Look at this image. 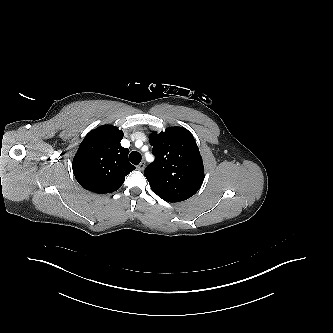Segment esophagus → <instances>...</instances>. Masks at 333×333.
<instances>
[{
  "instance_id": "obj_1",
  "label": "esophagus",
  "mask_w": 333,
  "mask_h": 333,
  "mask_svg": "<svg viewBox=\"0 0 333 333\" xmlns=\"http://www.w3.org/2000/svg\"><path fill=\"white\" fill-rule=\"evenodd\" d=\"M144 168H145V162H141L140 164H138V166H137V169L138 170H144Z\"/></svg>"
}]
</instances>
